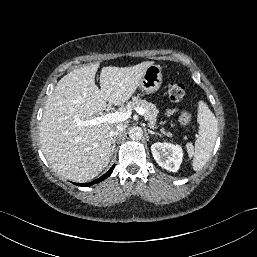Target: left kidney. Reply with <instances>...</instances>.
I'll return each instance as SVG.
<instances>
[{
  "mask_svg": "<svg viewBox=\"0 0 257 257\" xmlns=\"http://www.w3.org/2000/svg\"><path fill=\"white\" fill-rule=\"evenodd\" d=\"M151 152L160 167L171 172L178 171L183 159L180 145L158 142L152 144Z\"/></svg>",
  "mask_w": 257,
  "mask_h": 257,
  "instance_id": "left-kidney-1",
  "label": "left kidney"
}]
</instances>
